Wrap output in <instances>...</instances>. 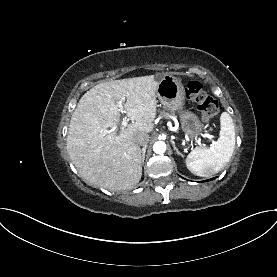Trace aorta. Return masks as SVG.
Listing matches in <instances>:
<instances>
[{
  "label": "aorta",
  "mask_w": 277,
  "mask_h": 277,
  "mask_svg": "<svg viewBox=\"0 0 277 277\" xmlns=\"http://www.w3.org/2000/svg\"><path fill=\"white\" fill-rule=\"evenodd\" d=\"M156 154H163L166 151V144L163 141H157L153 145Z\"/></svg>",
  "instance_id": "1"
}]
</instances>
